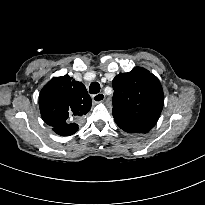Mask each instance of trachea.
<instances>
[{"label":"trachea","instance_id":"trachea-1","mask_svg":"<svg viewBox=\"0 0 205 205\" xmlns=\"http://www.w3.org/2000/svg\"><path fill=\"white\" fill-rule=\"evenodd\" d=\"M91 94H97L100 91V84L98 82H92L89 87Z\"/></svg>","mask_w":205,"mask_h":205}]
</instances>
